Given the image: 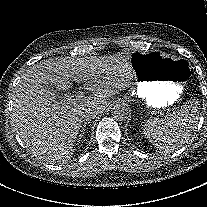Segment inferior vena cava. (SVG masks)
I'll use <instances>...</instances> for the list:
<instances>
[{"mask_svg":"<svg viewBox=\"0 0 207 207\" xmlns=\"http://www.w3.org/2000/svg\"><path fill=\"white\" fill-rule=\"evenodd\" d=\"M96 113H99V112H98V110H96V108H95V114H96ZM87 115H89V111L87 112ZM82 123H83V120H82Z\"/></svg>","mask_w":207,"mask_h":207,"instance_id":"602c4592","label":"inferior vena cava"}]
</instances>
